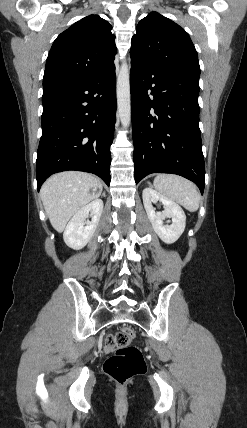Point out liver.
<instances>
[{
  "instance_id": "1",
  "label": "liver",
  "mask_w": 247,
  "mask_h": 428,
  "mask_svg": "<svg viewBox=\"0 0 247 428\" xmlns=\"http://www.w3.org/2000/svg\"><path fill=\"white\" fill-rule=\"evenodd\" d=\"M101 192L102 184L95 176L69 171L48 178L42 185L40 196L51 225L61 233L71 217L97 199Z\"/></svg>"
}]
</instances>
